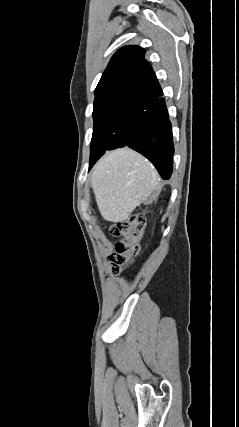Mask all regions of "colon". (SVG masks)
<instances>
[{
  "label": "colon",
  "mask_w": 239,
  "mask_h": 427,
  "mask_svg": "<svg viewBox=\"0 0 239 427\" xmlns=\"http://www.w3.org/2000/svg\"><path fill=\"white\" fill-rule=\"evenodd\" d=\"M145 226L142 213L132 215L127 221L113 225L111 234L118 239L117 251L110 256V268L115 274L138 252V242Z\"/></svg>",
  "instance_id": "obj_1"
}]
</instances>
